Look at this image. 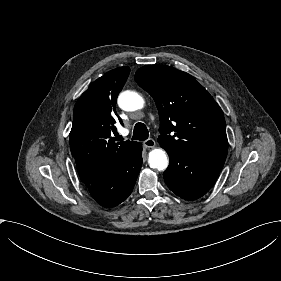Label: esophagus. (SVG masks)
Returning a JSON list of instances; mask_svg holds the SVG:
<instances>
[{
  "label": "esophagus",
  "mask_w": 281,
  "mask_h": 281,
  "mask_svg": "<svg viewBox=\"0 0 281 281\" xmlns=\"http://www.w3.org/2000/svg\"><path fill=\"white\" fill-rule=\"evenodd\" d=\"M143 145L147 148H153V147H155L156 143L153 139L150 138V139L145 140L143 142Z\"/></svg>",
  "instance_id": "1"
}]
</instances>
